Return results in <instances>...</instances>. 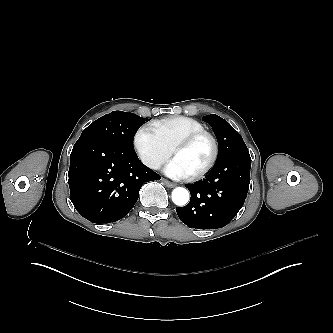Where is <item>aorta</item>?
<instances>
[{"instance_id": "aorta-1", "label": "aorta", "mask_w": 333, "mask_h": 333, "mask_svg": "<svg viewBox=\"0 0 333 333\" xmlns=\"http://www.w3.org/2000/svg\"><path fill=\"white\" fill-rule=\"evenodd\" d=\"M189 192L183 187H176L172 191V201L177 206H184L189 201Z\"/></svg>"}]
</instances>
